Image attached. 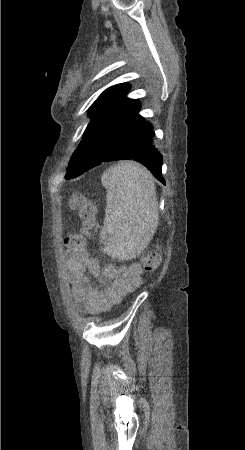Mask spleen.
Instances as JSON below:
<instances>
[{"label":"spleen","mask_w":245,"mask_h":450,"mask_svg":"<svg viewBox=\"0 0 245 450\" xmlns=\"http://www.w3.org/2000/svg\"><path fill=\"white\" fill-rule=\"evenodd\" d=\"M101 182L107 190L100 232L103 251L119 260L133 259L147 246L158 223L153 178L143 165L124 161L106 170Z\"/></svg>","instance_id":"3e777b00"}]
</instances>
